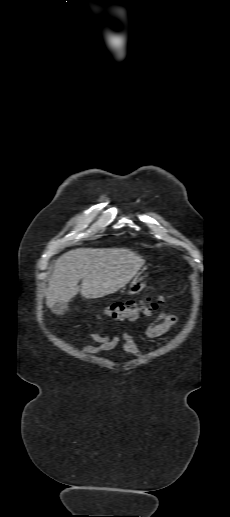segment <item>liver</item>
Masks as SVG:
<instances>
[{
	"label": "liver",
	"instance_id": "liver-1",
	"mask_svg": "<svg viewBox=\"0 0 230 517\" xmlns=\"http://www.w3.org/2000/svg\"><path fill=\"white\" fill-rule=\"evenodd\" d=\"M144 259L126 248H77L63 254L55 263L49 279L46 304L50 308L57 302L67 303L79 292L96 299L128 284L135 277Z\"/></svg>",
	"mask_w": 230,
	"mask_h": 517
}]
</instances>
